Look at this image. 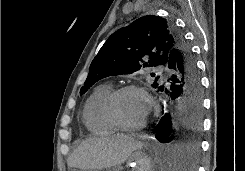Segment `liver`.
<instances>
[{"label":"liver","instance_id":"obj_1","mask_svg":"<svg viewBox=\"0 0 245 171\" xmlns=\"http://www.w3.org/2000/svg\"><path fill=\"white\" fill-rule=\"evenodd\" d=\"M142 147V142L124 134L89 138L73 151L67 164L82 170L111 168L123 164L133 151Z\"/></svg>","mask_w":245,"mask_h":171}]
</instances>
